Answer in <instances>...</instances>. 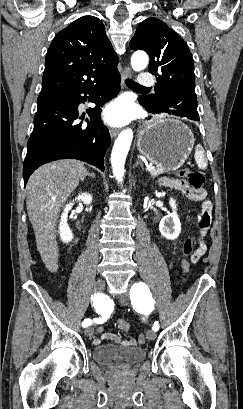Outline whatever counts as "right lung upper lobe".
<instances>
[{
  "instance_id": "right-lung-upper-lobe-1",
  "label": "right lung upper lobe",
  "mask_w": 243,
  "mask_h": 409,
  "mask_svg": "<svg viewBox=\"0 0 243 409\" xmlns=\"http://www.w3.org/2000/svg\"><path fill=\"white\" fill-rule=\"evenodd\" d=\"M117 64L103 22L83 16L54 37L47 51L39 96L97 84L117 73Z\"/></svg>"
}]
</instances>
